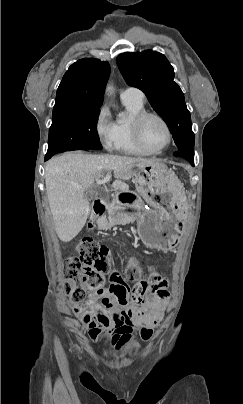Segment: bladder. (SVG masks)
Here are the masks:
<instances>
[{
  "instance_id": "bladder-1",
  "label": "bladder",
  "mask_w": 243,
  "mask_h": 404,
  "mask_svg": "<svg viewBox=\"0 0 243 404\" xmlns=\"http://www.w3.org/2000/svg\"><path fill=\"white\" fill-rule=\"evenodd\" d=\"M141 347L139 345H134L131 347V352L132 353H138L140 351Z\"/></svg>"
}]
</instances>
